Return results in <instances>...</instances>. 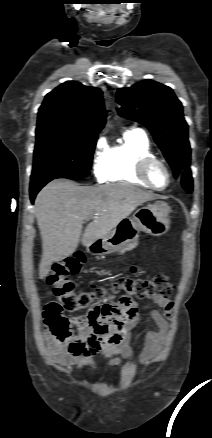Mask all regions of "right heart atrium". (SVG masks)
Wrapping results in <instances>:
<instances>
[{"label":"right heart atrium","instance_id":"right-heart-atrium-1","mask_svg":"<svg viewBox=\"0 0 212 438\" xmlns=\"http://www.w3.org/2000/svg\"><path fill=\"white\" fill-rule=\"evenodd\" d=\"M107 142L105 137H99L96 141L93 152V173L99 180L103 181L105 178L107 168Z\"/></svg>","mask_w":212,"mask_h":438}]
</instances>
